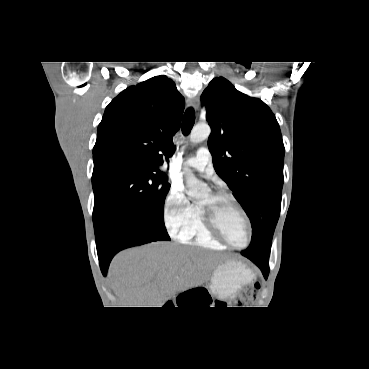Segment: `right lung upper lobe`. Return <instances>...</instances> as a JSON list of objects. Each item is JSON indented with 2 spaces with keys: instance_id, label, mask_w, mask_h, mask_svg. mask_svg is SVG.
I'll use <instances>...</instances> for the list:
<instances>
[{
  "instance_id": "obj_1",
  "label": "right lung upper lobe",
  "mask_w": 369,
  "mask_h": 369,
  "mask_svg": "<svg viewBox=\"0 0 369 369\" xmlns=\"http://www.w3.org/2000/svg\"><path fill=\"white\" fill-rule=\"evenodd\" d=\"M184 107V98L165 75L128 87L105 109L94 166L132 165L163 173L158 166L174 153L172 138Z\"/></svg>"
}]
</instances>
